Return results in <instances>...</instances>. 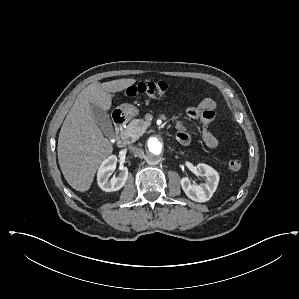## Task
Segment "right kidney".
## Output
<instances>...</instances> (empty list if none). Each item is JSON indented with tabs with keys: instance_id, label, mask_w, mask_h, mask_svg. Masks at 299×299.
I'll return each mask as SVG.
<instances>
[{
	"instance_id": "ca27d5eb",
	"label": "right kidney",
	"mask_w": 299,
	"mask_h": 299,
	"mask_svg": "<svg viewBox=\"0 0 299 299\" xmlns=\"http://www.w3.org/2000/svg\"><path fill=\"white\" fill-rule=\"evenodd\" d=\"M117 157L111 155L106 158L99 167L97 173V182L99 187L106 192H113L120 190L126 183L128 178V168H121V172L118 177H113L109 180V177L116 169Z\"/></svg>"
}]
</instances>
